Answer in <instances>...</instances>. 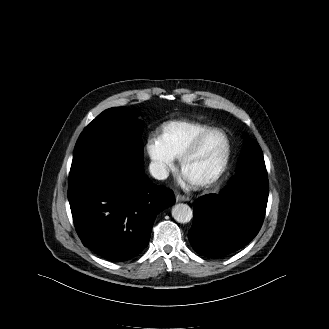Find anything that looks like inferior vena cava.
<instances>
[{"label":"inferior vena cava","mask_w":329,"mask_h":329,"mask_svg":"<svg viewBox=\"0 0 329 329\" xmlns=\"http://www.w3.org/2000/svg\"><path fill=\"white\" fill-rule=\"evenodd\" d=\"M150 174L158 180H164L169 176L166 165L161 162H151L149 165Z\"/></svg>","instance_id":"inferior-vena-cava-1"}]
</instances>
